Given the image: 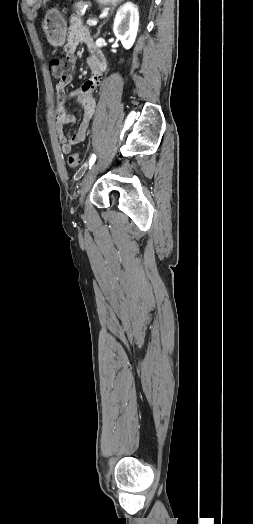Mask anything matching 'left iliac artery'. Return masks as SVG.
<instances>
[{"mask_svg":"<svg viewBox=\"0 0 253 524\" xmlns=\"http://www.w3.org/2000/svg\"><path fill=\"white\" fill-rule=\"evenodd\" d=\"M95 160H96V156L92 155L91 159L89 160V168H91V166L94 164Z\"/></svg>","mask_w":253,"mask_h":524,"instance_id":"obj_1","label":"left iliac artery"}]
</instances>
